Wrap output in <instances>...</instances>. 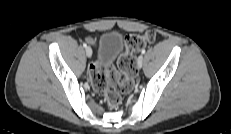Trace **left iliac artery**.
<instances>
[{"label":"left iliac artery","mask_w":231,"mask_h":134,"mask_svg":"<svg viewBox=\"0 0 231 134\" xmlns=\"http://www.w3.org/2000/svg\"><path fill=\"white\" fill-rule=\"evenodd\" d=\"M145 52H146L145 49H143V50L141 51V54H145Z\"/></svg>","instance_id":"1"}]
</instances>
